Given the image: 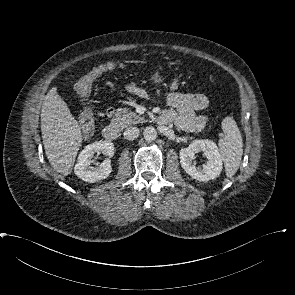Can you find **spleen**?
<instances>
[{
    "label": "spleen",
    "instance_id": "3e777b00",
    "mask_svg": "<svg viewBox=\"0 0 295 295\" xmlns=\"http://www.w3.org/2000/svg\"><path fill=\"white\" fill-rule=\"evenodd\" d=\"M223 139L219 140V153L226 175L231 178L237 172L243 154V141L235 120L227 116L222 121Z\"/></svg>",
    "mask_w": 295,
    "mask_h": 295
}]
</instances>
